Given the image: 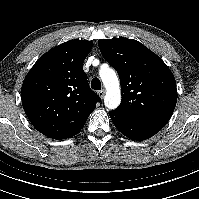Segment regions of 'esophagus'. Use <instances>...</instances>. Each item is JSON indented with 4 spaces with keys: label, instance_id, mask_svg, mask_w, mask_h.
<instances>
[{
    "label": "esophagus",
    "instance_id": "esophagus-1",
    "mask_svg": "<svg viewBox=\"0 0 199 199\" xmlns=\"http://www.w3.org/2000/svg\"><path fill=\"white\" fill-rule=\"evenodd\" d=\"M106 91L104 89L98 91V95L100 98H104Z\"/></svg>",
    "mask_w": 199,
    "mask_h": 199
}]
</instances>
